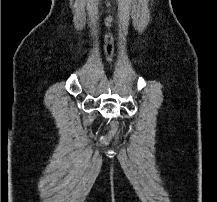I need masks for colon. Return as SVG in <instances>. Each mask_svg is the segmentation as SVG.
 I'll use <instances>...</instances> for the list:
<instances>
[{
	"label": "colon",
	"mask_w": 217,
	"mask_h": 202,
	"mask_svg": "<svg viewBox=\"0 0 217 202\" xmlns=\"http://www.w3.org/2000/svg\"><path fill=\"white\" fill-rule=\"evenodd\" d=\"M111 128H117L116 123L114 121H111ZM113 134H109V137H114V134H118V129H113ZM99 141H108V138H99Z\"/></svg>",
	"instance_id": "5ec220e1"
}]
</instances>
